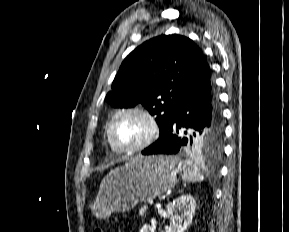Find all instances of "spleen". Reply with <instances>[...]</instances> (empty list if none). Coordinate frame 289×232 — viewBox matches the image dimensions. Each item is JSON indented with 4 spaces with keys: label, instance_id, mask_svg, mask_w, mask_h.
<instances>
[{
    "label": "spleen",
    "instance_id": "1",
    "mask_svg": "<svg viewBox=\"0 0 289 232\" xmlns=\"http://www.w3.org/2000/svg\"><path fill=\"white\" fill-rule=\"evenodd\" d=\"M178 169L183 172L182 179L184 181L200 182L204 179V176L198 167V163H193L191 160L179 163Z\"/></svg>",
    "mask_w": 289,
    "mask_h": 232
}]
</instances>
